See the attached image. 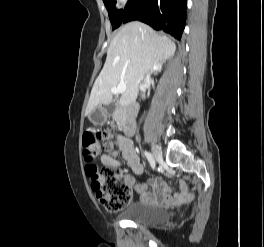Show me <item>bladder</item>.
<instances>
[{
    "instance_id": "obj_1",
    "label": "bladder",
    "mask_w": 264,
    "mask_h": 247,
    "mask_svg": "<svg viewBox=\"0 0 264 247\" xmlns=\"http://www.w3.org/2000/svg\"><path fill=\"white\" fill-rule=\"evenodd\" d=\"M171 216L169 209L157 205H149L144 202H135L130 205L123 217L126 220L149 227L166 224Z\"/></svg>"
}]
</instances>
